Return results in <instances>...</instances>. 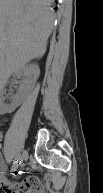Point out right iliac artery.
I'll use <instances>...</instances> for the list:
<instances>
[{
  "label": "right iliac artery",
  "mask_w": 103,
  "mask_h": 193,
  "mask_svg": "<svg viewBox=\"0 0 103 193\" xmlns=\"http://www.w3.org/2000/svg\"><path fill=\"white\" fill-rule=\"evenodd\" d=\"M20 159H21V157H20V155L18 154V155L15 157V159H14V162H13V165H12V168H11V172L16 171V169L18 168V164H19V162H20Z\"/></svg>",
  "instance_id": "right-iliac-artery-1"
}]
</instances>
